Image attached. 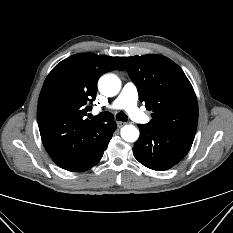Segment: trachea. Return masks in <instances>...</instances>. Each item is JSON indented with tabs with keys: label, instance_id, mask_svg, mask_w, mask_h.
<instances>
[{
	"label": "trachea",
	"instance_id": "3493384b",
	"mask_svg": "<svg viewBox=\"0 0 233 233\" xmlns=\"http://www.w3.org/2000/svg\"><path fill=\"white\" fill-rule=\"evenodd\" d=\"M93 119H95L98 122H108L114 119L113 115L110 112H102L100 114H98L96 117H93ZM116 119L118 121H127L128 117L124 112H119L116 115Z\"/></svg>",
	"mask_w": 233,
	"mask_h": 233
}]
</instances>
